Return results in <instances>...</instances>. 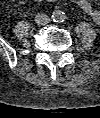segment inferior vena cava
<instances>
[{"instance_id":"inferior-vena-cava-1","label":"inferior vena cava","mask_w":100,"mask_h":118,"mask_svg":"<svg viewBox=\"0 0 100 118\" xmlns=\"http://www.w3.org/2000/svg\"><path fill=\"white\" fill-rule=\"evenodd\" d=\"M49 22H50V18L46 14L38 13L35 16V23L38 25H46Z\"/></svg>"}]
</instances>
